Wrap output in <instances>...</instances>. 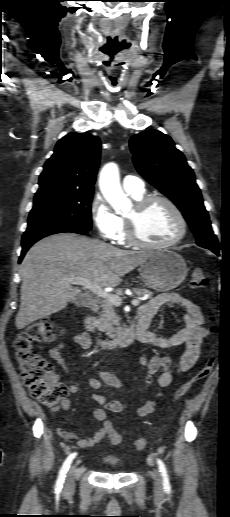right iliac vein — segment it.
<instances>
[{"label": "right iliac vein", "mask_w": 230, "mask_h": 517, "mask_svg": "<svg viewBox=\"0 0 230 517\" xmlns=\"http://www.w3.org/2000/svg\"><path fill=\"white\" fill-rule=\"evenodd\" d=\"M78 474H79V472H78V469L76 468V466L75 465L71 466V468L68 470L65 484H64L65 493H70L73 491L74 485H75V478Z\"/></svg>", "instance_id": "63e3f726"}]
</instances>
